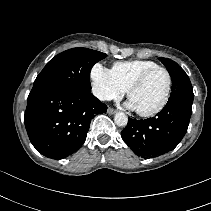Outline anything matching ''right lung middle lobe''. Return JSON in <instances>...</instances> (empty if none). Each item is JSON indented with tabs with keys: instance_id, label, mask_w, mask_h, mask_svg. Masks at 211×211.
Here are the masks:
<instances>
[{
	"instance_id": "1",
	"label": "right lung middle lobe",
	"mask_w": 211,
	"mask_h": 211,
	"mask_svg": "<svg viewBox=\"0 0 211 211\" xmlns=\"http://www.w3.org/2000/svg\"><path fill=\"white\" fill-rule=\"evenodd\" d=\"M106 54L87 48L66 50L51 59L37 76L33 89L54 87L79 94L91 93L90 71Z\"/></svg>"
}]
</instances>
